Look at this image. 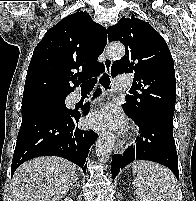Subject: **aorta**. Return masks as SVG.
Segmentation results:
<instances>
[{"instance_id": "obj_1", "label": "aorta", "mask_w": 196, "mask_h": 201, "mask_svg": "<svg viewBox=\"0 0 196 201\" xmlns=\"http://www.w3.org/2000/svg\"><path fill=\"white\" fill-rule=\"evenodd\" d=\"M107 54L112 58H122L125 54V47L122 44H110L107 47ZM115 144V137L107 134L101 137L96 143V155L101 162H105L110 158Z\"/></svg>"}]
</instances>
